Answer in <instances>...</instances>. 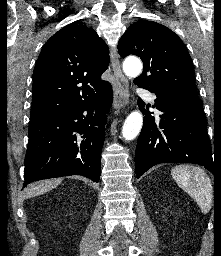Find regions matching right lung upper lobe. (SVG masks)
I'll list each match as a JSON object with an SVG mask.
<instances>
[{"instance_id": "cb5924a9", "label": "right lung upper lobe", "mask_w": 221, "mask_h": 256, "mask_svg": "<svg viewBox=\"0 0 221 256\" xmlns=\"http://www.w3.org/2000/svg\"><path fill=\"white\" fill-rule=\"evenodd\" d=\"M109 49L94 29L70 24L43 46L34 69L30 121L91 99L110 83L101 80Z\"/></svg>"}]
</instances>
